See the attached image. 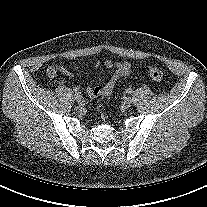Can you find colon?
Listing matches in <instances>:
<instances>
[{
    "instance_id": "5ec220e1",
    "label": "colon",
    "mask_w": 207,
    "mask_h": 207,
    "mask_svg": "<svg viewBox=\"0 0 207 207\" xmlns=\"http://www.w3.org/2000/svg\"><path fill=\"white\" fill-rule=\"evenodd\" d=\"M147 73L149 77L155 81H160L163 78V72L157 67H153V66L148 67Z\"/></svg>"
}]
</instances>
